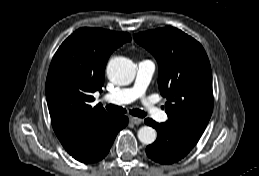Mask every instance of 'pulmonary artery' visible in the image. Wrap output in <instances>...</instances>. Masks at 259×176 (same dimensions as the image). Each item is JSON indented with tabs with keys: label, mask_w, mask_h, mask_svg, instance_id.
I'll return each mask as SVG.
<instances>
[{
	"label": "pulmonary artery",
	"mask_w": 259,
	"mask_h": 176,
	"mask_svg": "<svg viewBox=\"0 0 259 176\" xmlns=\"http://www.w3.org/2000/svg\"><path fill=\"white\" fill-rule=\"evenodd\" d=\"M155 71V64L151 60H142L137 64L135 82L131 87L118 89L104 96V100L114 105H125L137 99H144L147 87ZM145 111L159 121H166L167 115L155 104L145 101Z\"/></svg>",
	"instance_id": "pulmonary-artery-1"
}]
</instances>
